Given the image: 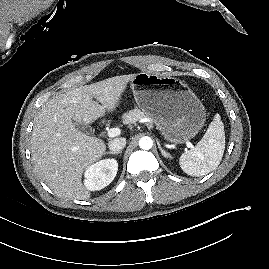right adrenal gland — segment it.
I'll return each mask as SVG.
<instances>
[{
    "mask_svg": "<svg viewBox=\"0 0 269 269\" xmlns=\"http://www.w3.org/2000/svg\"><path fill=\"white\" fill-rule=\"evenodd\" d=\"M122 151H109V152H106V154H113V155H116V154H120Z\"/></svg>",
    "mask_w": 269,
    "mask_h": 269,
    "instance_id": "right-adrenal-gland-1",
    "label": "right adrenal gland"
}]
</instances>
